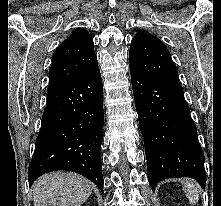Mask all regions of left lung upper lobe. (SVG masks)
Segmentation results:
<instances>
[{
	"instance_id": "1",
	"label": "left lung upper lobe",
	"mask_w": 221,
	"mask_h": 206,
	"mask_svg": "<svg viewBox=\"0 0 221 206\" xmlns=\"http://www.w3.org/2000/svg\"><path fill=\"white\" fill-rule=\"evenodd\" d=\"M129 59L131 73L180 85L170 52L157 37L147 31L140 30L132 39Z\"/></svg>"
}]
</instances>
